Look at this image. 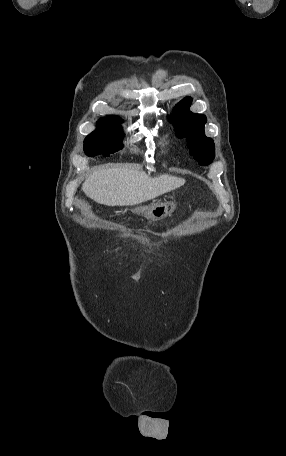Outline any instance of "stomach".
Wrapping results in <instances>:
<instances>
[{
  "label": "stomach",
  "mask_w": 286,
  "mask_h": 456,
  "mask_svg": "<svg viewBox=\"0 0 286 456\" xmlns=\"http://www.w3.org/2000/svg\"><path fill=\"white\" fill-rule=\"evenodd\" d=\"M175 209L176 204L174 202L166 201L164 203L143 207L140 212L145 218L155 221L171 216Z\"/></svg>",
  "instance_id": "stomach-1"
}]
</instances>
